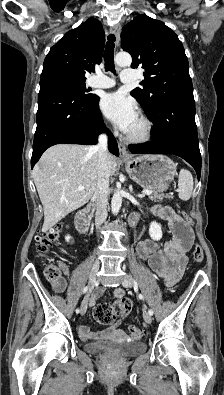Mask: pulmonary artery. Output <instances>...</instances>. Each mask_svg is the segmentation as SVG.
I'll return each instance as SVG.
<instances>
[{
  "instance_id": "1",
  "label": "pulmonary artery",
  "mask_w": 224,
  "mask_h": 395,
  "mask_svg": "<svg viewBox=\"0 0 224 395\" xmlns=\"http://www.w3.org/2000/svg\"><path fill=\"white\" fill-rule=\"evenodd\" d=\"M120 80L123 83H130L135 80V71L132 69H125L121 72ZM115 85V81L105 75L98 74L90 82L89 86L93 88H110Z\"/></svg>"
}]
</instances>
